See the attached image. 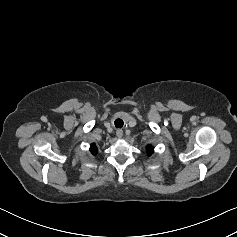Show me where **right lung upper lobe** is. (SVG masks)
Segmentation results:
<instances>
[{
  "label": "right lung upper lobe",
  "mask_w": 237,
  "mask_h": 237,
  "mask_svg": "<svg viewBox=\"0 0 237 237\" xmlns=\"http://www.w3.org/2000/svg\"><path fill=\"white\" fill-rule=\"evenodd\" d=\"M90 152H91L93 155H96V154H97V147L95 146V144H91V146H90Z\"/></svg>",
  "instance_id": "1"
}]
</instances>
